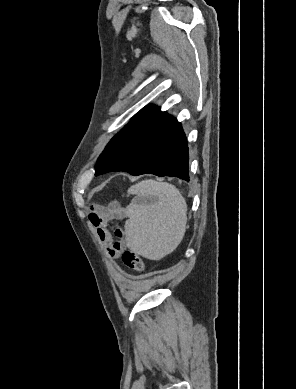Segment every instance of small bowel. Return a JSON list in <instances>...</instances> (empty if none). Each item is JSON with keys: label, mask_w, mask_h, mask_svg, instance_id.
<instances>
[{"label": "small bowel", "mask_w": 296, "mask_h": 389, "mask_svg": "<svg viewBox=\"0 0 296 389\" xmlns=\"http://www.w3.org/2000/svg\"><path fill=\"white\" fill-rule=\"evenodd\" d=\"M126 216L125 210L117 204L91 208L89 220L108 255L112 258H118L126 247L125 230L120 225Z\"/></svg>", "instance_id": "c3829d8e"}]
</instances>
